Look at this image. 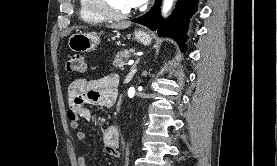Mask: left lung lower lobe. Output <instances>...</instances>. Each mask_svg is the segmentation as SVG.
<instances>
[{"label": "left lung lower lobe", "instance_id": "obj_1", "mask_svg": "<svg viewBox=\"0 0 277 166\" xmlns=\"http://www.w3.org/2000/svg\"><path fill=\"white\" fill-rule=\"evenodd\" d=\"M199 0H178L173 14L167 19H161V0H155L154 6L144 15L133 19L132 22L157 30L162 37H171L177 41L181 50L185 51V41L187 39V26L190 17L197 11Z\"/></svg>", "mask_w": 277, "mask_h": 166}]
</instances>
